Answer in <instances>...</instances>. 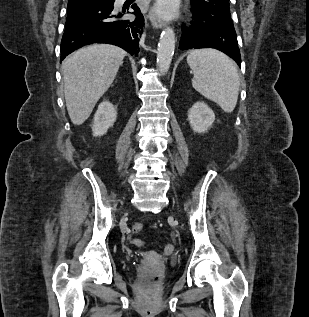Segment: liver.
<instances>
[{
    "label": "liver",
    "mask_w": 309,
    "mask_h": 317,
    "mask_svg": "<svg viewBox=\"0 0 309 317\" xmlns=\"http://www.w3.org/2000/svg\"><path fill=\"white\" fill-rule=\"evenodd\" d=\"M126 52L94 44L72 53L62 64L66 107L73 124H83L113 83Z\"/></svg>",
    "instance_id": "obj_1"
}]
</instances>
